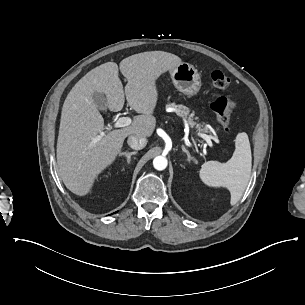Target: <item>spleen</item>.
I'll use <instances>...</instances> for the list:
<instances>
[{"label":"spleen","mask_w":305,"mask_h":305,"mask_svg":"<svg viewBox=\"0 0 305 305\" xmlns=\"http://www.w3.org/2000/svg\"><path fill=\"white\" fill-rule=\"evenodd\" d=\"M235 150L227 163L208 161L198 176L209 188L226 189L230 194V205L234 206L242 197L250 180L252 155L246 132H238L234 139Z\"/></svg>","instance_id":"spleen-1"}]
</instances>
